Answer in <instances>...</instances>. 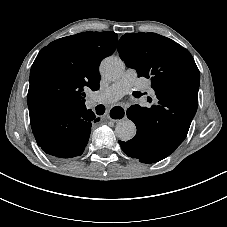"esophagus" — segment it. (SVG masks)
<instances>
[{"label": "esophagus", "instance_id": "esophagus-1", "mask_svg": "<svg viewBox=\"0 0 227 227\" xmlns=\"http://www.w3.org/2000/svg\"><path fill=\"white\" fill-rule=\"evenodd\" d=\"M126 116V109L123 106H112L107 112V117L112 121H121Z\"/></svg>", "mask_w": 227, "mask_h": 227}]
</instances>
